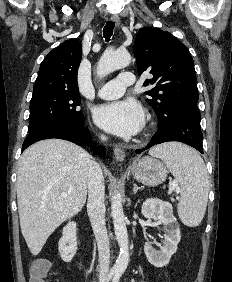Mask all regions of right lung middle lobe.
Segmentation results:
<instances>
[{"label":"right lung middle lobe","instance_id":"1","mask_svg":"<svg viewBox=\"0 0 232 282\" xmlns=\"http://www.w3.org/2000/svg\"><path fill=\"white\" fill-rule=\"evenodd\" d=\"M81 99L78 91L44 90L33 92L30 102L28 132L58 122L81 124L84 116L79 110Z\"/></svg>","mask_w":232,"mask_h":282}]
</instances>
